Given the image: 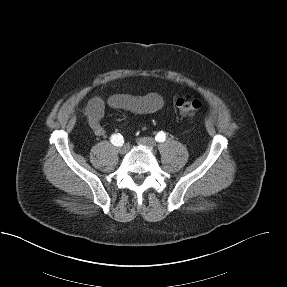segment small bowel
<instances>
[{
	"instance_id": "small-bowel-1",
	"label": "small bowel",
	"mask_w": 287,
	"mask_h": 287,
	"mask_svg": "<svg viewBox=\"0 0 287 287\" xmlns=\"http://www.w3.org/2000/svg\"><path fill=\"white\" fill-rule=\"evenodd\" d=\"M106 105L113 109L125 110L135 114H151L163 108L164 100L157 93L146 95L115 94L108 99L107 103L100 97L92 98L87 103L85 114L88 124L96 136H102L105 133L102 120Z\"/></svg>"
}]
</instances>
